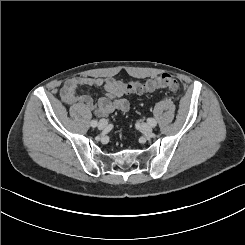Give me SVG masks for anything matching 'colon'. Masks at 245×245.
Listing matches in <instances>:
<instances>
[{
	"label": "colon",
	"mask_w": 245,
	"mask_h": 245,
	"mask_svg": "<svg viewBox=\"0 0 245 245\" xmlns=\"http://www.w3.org/2000/svg\"><path fill=\"white\" fill-rule=\"evenodd\" d=\"M126 88L130 94H142L158 89L176 91L179 88V82L173 75L160 74L146 81H130L126 84Z\"/></svg>",
	"instance_id": "colon-1"
}]
</instances>
